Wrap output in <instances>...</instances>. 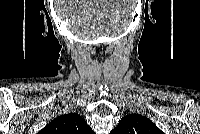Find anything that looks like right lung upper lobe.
Segmentation results:
<instances>
[{"label":"right lung upper lobe","mask_w":200,"mask_h":134,"mask_svg":"<svg viewBox=\"0 0 200 134\" xmlns=\"http://www.w3.org/2000/svg\"><path fill=\"white\" fill-rule=\"evenodd\" d=\"M42 134H92L86 121L76 113L61 115L42 130Z\"/></svg>","instance_id":"obj_1"}]
</instances>
